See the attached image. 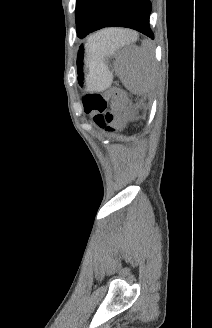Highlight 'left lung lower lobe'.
Masks as SVG:
<instances>
[{
    "label": "left lung lower lobe",
    "mask_w": 212,
    "mask_h": 328,
    "mask_svg": "<svg viewBox=\"0 0 212 328\" xmlns=\"http://www.w3.org/2000/svg\"><path fill=\"white\" fill-rule=\"evenodd\" d=\"M151 9L149 0H104L88 34L105 27H127L153 39L149 25Z\"/></svg>",
    "instance_id": "0a47b994"
}]
</instances>
